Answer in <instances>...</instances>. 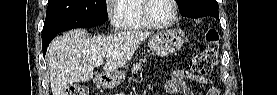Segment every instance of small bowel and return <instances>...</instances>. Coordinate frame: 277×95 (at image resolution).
I'll return each instance as SVG.
<instances>
[{"instance_id":"c3829d8e","label":"small bowel","mask_w":277,"mask_h":95,"mask_svg":"<svg viewBox=\"0 0 277 95\" xmlns=\"http://www.w3.org/2000/svg\"><path fill=\"white\" fill-rule=\"evenodd\" d=\"M186 80H190L198 85H207L211 82V79L204 76H198L192 74L183 69H175L171 73V79L167 81L163 86V94H182L192 95V90L187 86ZM204 95H218L220 94L218 89L208 87Z\"/></svg>"}]
</instances>
